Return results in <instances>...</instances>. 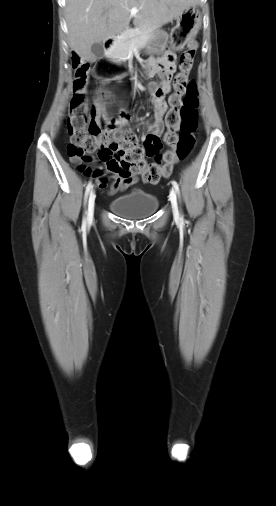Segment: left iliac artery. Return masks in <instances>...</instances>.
<instances>
[{
    "mask_svg": "<svg viewBox=\"0 0 276 506\" xmlns=\"http://www.w3.org/2000/svg\"><path fill=\"white\" fill-rule=\"evenodd\" d=\"M172 185L175 188V191L179 194V185L176 181H172ZM183 219V216L181 217Z\"/></svg>",
    "mask_w": 276,
    "mask_h": 506,
    "instance_id": "left-iliac-artery-1",
    "label": "left iliac artery"
}]
</instances>
